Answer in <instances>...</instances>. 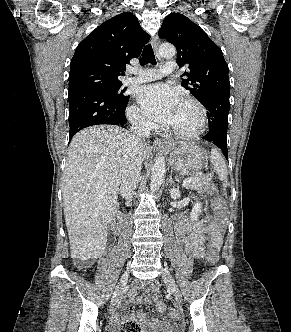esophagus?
Returning <instances> with one entry per match:
<instances>
[{
  "instance_id": "esophagus-1",
  "label": "esophagus",
  "mask_w": 291,
  "mask_h": 332,
  "mask_svg": "<svg viewBox=\"0 0 291 332\" xmlns=\"http://www.w3.org/2000/svg\"><path fill=\"white\" fill-rule=\"evenodd\" d=\"M159 44H160V39L158 37V35H155L153 38H152V47L154 49V52L155 54L159 57V54H158V49H159ZM153 146L155 148H163L166 146V141L163 140V139H156L154 142H153Z\"/></svg>"
}]
</instances>
